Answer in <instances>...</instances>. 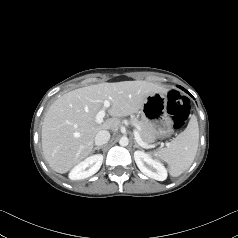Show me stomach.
<instances>
[{"instance_id": "0dacf381", "label": "stomach", "mask_w": 238, "mask_h": 238, "mask_svg": "<svg viewBox=\"0 0 238 238\" xmlns=\"http://www.w3.org/2000/svg\"><path fill=\"white\" fill-rule=\"evenodd\" d=\"M167 97L164 93L156 92L147 97L139 111L142 121L156 130V136L172 132V119L167 112Z\"/></svg>"}]
</instances>
